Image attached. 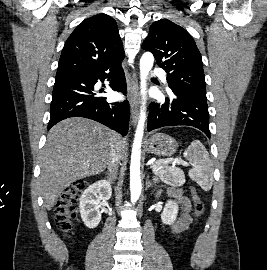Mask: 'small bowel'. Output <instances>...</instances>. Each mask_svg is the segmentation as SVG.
I'll return each instance as SVG.
<instances>
[{"instance_id":"obj_1","label":"small bowel","mask_w":267,"mask_h":270,"mask_svg":"<svg viewBox=\"0 0 267 270\" xmlns=\"http://www.w3.org/2000/svg\"><path fill=\"white\" fill-rule=\"evenodd\" d=\"M168 194L170 198L180 207V215L169 227V232L173 235H177L183 232L191 223V216L189 214L190 203L188 199L183 196L182 191L178 188H170L168 190Z\"/></svg>"}]
</instances>
